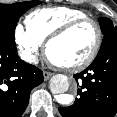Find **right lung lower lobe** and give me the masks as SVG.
<instances>
[{"label":"right lung lower lobe","instance_id":"obj_1","mask_svg":"<svg viewBox=\"0 0 117 117\" xmlns=\"http://www.w3.org/2000/svg\"><path fill=\"white\" fill-rule=\"evenodd\" d=\"M43 81L39 68L18 57L15 41L0 35V117H21L31 90Z\"/></svg>","mask_w":117,"mask_h":117}]
</instances>
